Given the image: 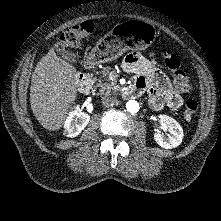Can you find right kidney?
<instances>
[{"mask_svg": "<svg viewBox=\"0 0 221 221\" xmlns=\"http://www.w3.org/2000/svg\"><path fill=\"white\" fill-rule=\"evenodd\" d=\"M90 116L81 112L78 106L71 108L69 115L64 123V135L67 137H76L87 126Z\"/></svg>", "mask_w": 221, "mask_h": 221, "instance_id": "ca27d5eb", "label": "right kidney"}]
</instances>
